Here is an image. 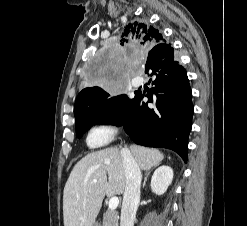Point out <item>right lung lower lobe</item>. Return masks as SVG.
<instances>
[{"label":"right lung lower lobe","mask_w":247,"mask_h":226,"mask_svg":"<svg viewBox=\"0 0 247 226\" xmlns=\"http://www.w3.org/2000/svg\"><path fill=\"white\" fill-rule=\"evenodd\" d=\"M149 70L155 87L146 97L154 107L142 102L144 94L136 91L133 99L128 98L102 124L123 125L136 144L172 149L186 162L194 111L186 70L174 59L173 49L166 43L149 51L145 72Z\"/></svg>","instance_id":"98d812e1"}]
</instances>
